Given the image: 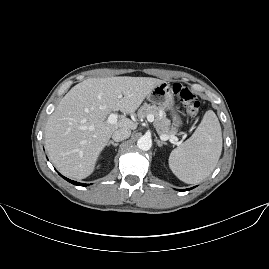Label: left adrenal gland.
<instances>
[{
	"label": "left adrenal gland",
	"instance_id": "1",
	"mask_svg": "<svg viewBox=\"0 0 269 269\" xmlns=\"http://www.w3.org/2000/svg\"><path fill=\"white\" fill-rule=\"evenodd\" d=\"M155 141L157 142V145H158L159 147H161V146L167 144L166 142H163V141H160L159 139H157V137H156Z\"/></svg>",
	"mask_w": 269,
	"mask_h": 269
}]
</instances>
